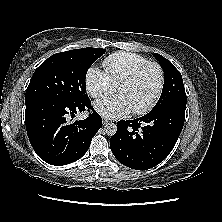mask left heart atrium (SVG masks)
Wrapping results in <instances>:
<instances>
[{
  "mask_svg": "<svg viewBox=\"0 0 222 222\" xmlns=\"http://www.w3.org/2000/svg\"><path fill=\"white\" fill-rule=\"evenodd\" d=\"M94 108L100 115L108 119L121 118L132 110L126 97L120 93L96 101Z\"/></svg>",
  "mask_w": 222,
  "mask_h": 222,
  "instance_id": "left-heart-atrium-1",
  "label": "left heart atrium"
}]
</instances>
